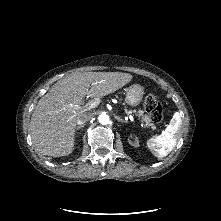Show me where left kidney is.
Instances as JSON below:
<instances>
[{
	"label": "left kidney",
	"instance_id": "1",
	"mask_svg": "<svg viewBox=\"0 0 221 221\" xmlns=\"http://www.w3.org/2000/svg\"><path fill=\"white\" fill-rule=\"evenodd\" d=\"M130 144H131V146L139 147V141L137 138H135L134 141L130 140Z\"/></svg>",
	"mask_w": 221,
	"mask_h": 221
}]
</instances>
